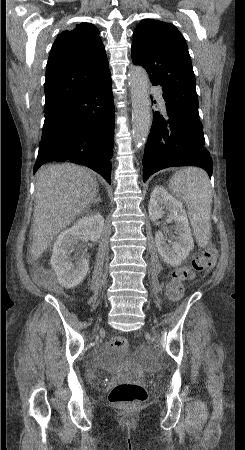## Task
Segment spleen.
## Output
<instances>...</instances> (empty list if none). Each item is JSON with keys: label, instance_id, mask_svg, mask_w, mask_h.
<instances>
[{"label": "spleen", "instance_id": "1", "mask_svg": "<svg viewBox=\"0 0 245 450\" xmlns=\"http://www.w3.org/2000/svg\"><path fill=\"white\" fill-rule=\"evenodd\" d=\"M169 188L186 204L197 243L206 246L211 234L212 206V191L207 173L197 167H187L172 176Z\"/></svg>", "mask_w": 245, "mask_h": 450}]
</instances>
